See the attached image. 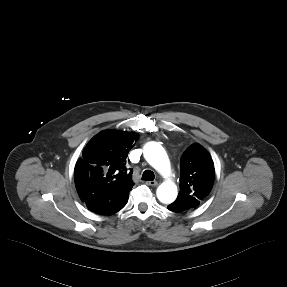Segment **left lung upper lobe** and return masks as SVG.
Here are the masks:
<instances>
[{
	"instance_id": "5c2ea615",
	"label": "left lung upper lobe",
	"mask_w": 287,
	"mask_h": 287,
	"mask_svg": "<svg viewBox=\"0 0 287 287\" xmlns=\"http://www.w3.org/2000/svg\"><path fill=\"white\" fill-rule=\"evenodd\" d=\"M180 192L174 205L178 212L197 207L212 189L215 169L209 153L198 143L181 157Z\"/></svg>"
}]
</instances>
